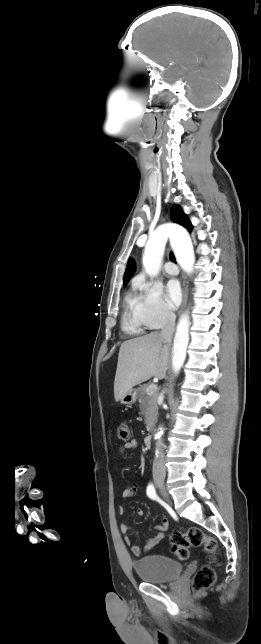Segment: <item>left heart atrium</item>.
<instances>
[{
    "label": "left heart atrium",
    "instance_id": "left-heart-atrium-1",
    "mask_svg": "<svg viewBox=\"0 0 261 644\" xmlns=\"http://www.w3.org/2000/svg\"><path fill=\"white\" fill-rule=\"evenodd\" d=\"M167 302L171 308H176L182 298L181 286L178 280L172 279L166 286Z\"/></svg>",
    "mask_w": 261,
    "mask_h": 644
}]
</instances>
